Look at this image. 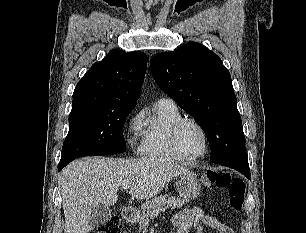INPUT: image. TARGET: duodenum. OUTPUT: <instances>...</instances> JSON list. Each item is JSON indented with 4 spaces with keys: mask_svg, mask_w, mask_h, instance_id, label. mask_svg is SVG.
Instances as JSON below:
<instances>
[{
    "mask_svg": "<svg viewBox=\"0 0 306 233\" xmlns=\"http://www.w3.org/2000/svg\"><path fill=\"white\" fill-rule=\"evenodd\" d=\"M122 217L126 223H133L135 220V210L131 207H124L122 209Z\"/></svg>",
    "mask_w": 306,
    "mask_h": 233,
    "instance_id": "duodenum-1",
    "label": "duodenum"
}]
</instances>
